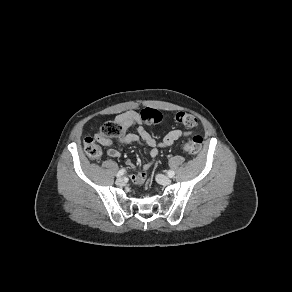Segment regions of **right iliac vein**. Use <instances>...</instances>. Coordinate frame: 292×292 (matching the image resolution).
I'll list each match as a JSON object with an SVG mask.
<instances>
[{
	"label": "right iliac vein",
	"instance_id": "obj_1",
	"mask_svg": "<svg viewBox=\"0 0 292 292\" xmlns=\"http://www.w3.org/2000/svg\"><path fill=\"white\" fill-rule=\"evenodd\" d=\"M116 184H117L118 186H124V185H125V180H124L123 178H118V179L116 180Z\"/></svg>",
	"mask_w": 292,
	"mask_h": 292
}]
</instances>
